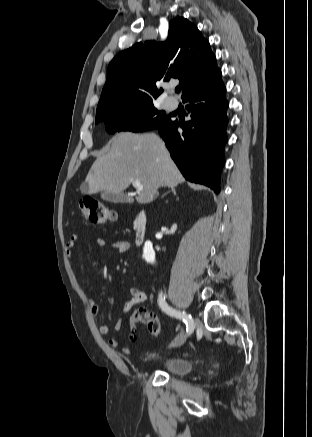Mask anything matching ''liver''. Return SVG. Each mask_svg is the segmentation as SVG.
<instances>
[{"mask_svg": "<svg viewBox=\"0 0 312 437\" xmlns=\"http://www.w3.org/2000/svg\"><path fill=\"white\" fill-rule=\"evenodd\" d=\"M138 180L143 185L136 200L152 202L160 187L177 186L185 181L173 162L163 140L154 133L123 132L111 139L109 152L93 163L82 192L99 191L121 194Z\"/></svg>", "mask_w": 312, "mask_h": 437, "instance_id": "6515ba94", "label": "liver"}]
</instances>
